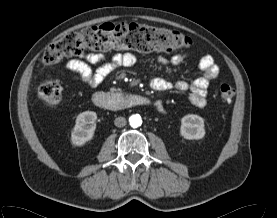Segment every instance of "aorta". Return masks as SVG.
I'll use <instances>...</instances> for the list:
<instances>
[{
	"mask_svg": "<svg viewBox=\"0 0 277 218\" xmlns=\"http://www.w3.org/2000/svg\"><path fill=\"white\" fill-rule=\"evenodd\" d=\"M129 123H130V126L133 128H137L141 126L142 124L141 116L139 114L131 115L129 118Z\"/></svg>",
	"mask_w": 277,
	"mask_h": 218,
	"instance_id": "obj_1",
	"label": "aorta"
}]
</instances>
